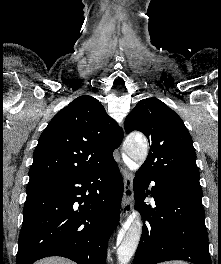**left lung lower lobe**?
I'll list each match as a JSON object with an SVG mask.
<instances>
[{
	"instance_id": "0a47b994",
	"label": "left lung lower lobe",
	"mask_w": 221,
	"mask_h": 264,
	"mask_svg": "<svg viewBox=\"0 0 221 264\" xmlns=\"http://www.w3.org/2000/svg\"><path fill=\"white\" fill-rule=\"evenodd\" d=\"M155 182L151 191L149 183ZM148 194L156 207L144 203ZM134 197L143 218V230L133 264H156L184 260L211 264L202 192L176 186L139 170L134 179Z\"/></svg>"
}]
</instances>
